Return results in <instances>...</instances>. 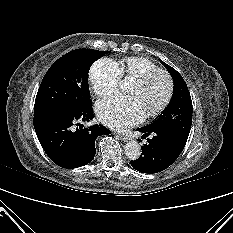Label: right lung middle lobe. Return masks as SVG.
<instances>
[{
  "mask_svg": "<svg viewBox=\"0 0 233 233\" xmlns=\"http://www.w3.org/2000/svg\"><path fill=\"white\" fill-rule=\"evenodd\" d=\"M109 53L76 49L59 58L45 74L35 99L34 116L75 111L92 105L88 86L91 65Z\"/></svg>",
  "mask_w": 233,
  "mask_h": 233,
  "instance_id": "1",
  "label": "right lung middle lobe"
}]
</instances>
